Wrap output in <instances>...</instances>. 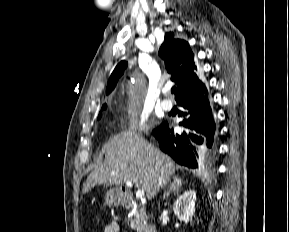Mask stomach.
I'll use <instances>...</instances> for the list:
<instances>
[{"label": "stomach", "mask_w": 289, "mask_h": 232, "mask_svg": "<svg viewBox=\"0 0 289 232\" xmlns=\"http://www.w3.org/2000/svg\"><path fill=\"white\" fill-rule=\"evenodd\" d=\"M122 200V197L116 193L114 190L110 191L106 196V203L108 205H115L120 203Z\"/></svg>", "instance_id": "stomach-1"}]
</instances>
